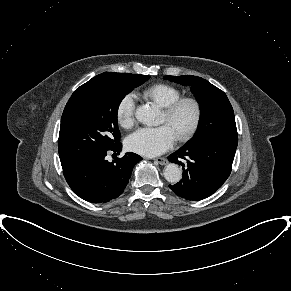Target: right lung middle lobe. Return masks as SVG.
I'll return each mask as SVG.
<instances>
[{
  "instance_id": "obj_1",
  "label": "right lung middle lobe",
  "mask_w": 291,
  "mask_h": 291,
  "mask_svg": "<svg viewBox=\"0 0 291 291\" xmlns=\"http://www.w3.org/2000/svg\"><path fill=\"white\" fill-rule=\"evenodd\" d=\"M150 76L97 75L77 88L61 118L58 149L62 168L120 143L117 124L122 99Z\"/></svg>"
}]
</instances>
